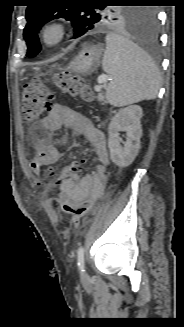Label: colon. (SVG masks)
Wrapping results in <instances>:
<instances>
[{
  "label": "colon",
  "mask_w": 184,
  "mask_h": 327,
  "mask_svg": "<svg viewBox=\"0 0 184 327\" xmlns=\"http://www.w3.org/2000/svg\"><path fill=\"white\" fill-rule=\"evenodd\" d=\"M53 82L63 93L82 100L90 101L93 93L83 78L68 72H61L54 76ZM52 99V92L47 84L39 79L28 83L21 97V112L24 121L30 122L37 119L48 108ZM59 209L65 213L81 218L88 214L93 203L89 201L73 202L66 198L53 200Z\"/></svg>",
  "instance_id": "colon-1"
}]
</instances>
